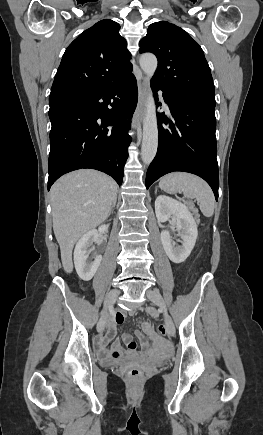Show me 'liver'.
<instances>
[{"label":"liver","instance_id":"6515ba94","mask_svg":"<svg viewBox=\"0 0 263 435\" xmlns=\"http://www.w3.org/2000/svg\"><path fill=\"white\" fill-rule=\"evenodd\" d=\"M117 199L115 181L96 170L82 169L57 180L51 188L53 230L65 272L73 271L77 240L100 225Z\"/></svg>","mask_w":263,"mask_h":435}]
</instances>
